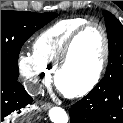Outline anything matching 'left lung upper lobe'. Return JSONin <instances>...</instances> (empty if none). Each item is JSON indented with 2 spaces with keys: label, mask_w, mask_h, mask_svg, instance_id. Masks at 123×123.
I'll return each mask as SVG.
<instances>
[{
  "label": "left lung upper lobe",
  "mask_w": 123,
  "mask_h": 123,
  "mask_svg": "<svg viewBox=\"0 0 123 123\" xmlns=\"http://www.w3.org/2000/svg\"><path fill=\"white\" fill-rule=\"evenodd\" d=\"M109 39V59L104 78L99 86H111L123 80V25L110 12H103Z\"/></svg>",
  "instance_id": "5c2ea615"
}]
</instances>
